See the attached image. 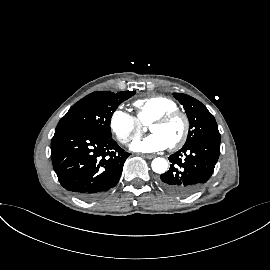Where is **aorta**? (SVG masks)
Listing matches in <instances>:
<instances>
[{"mask_svg":"<svg viewBox=\"0 0 270 270\" xmlns=\"http://www.w3.org/2000/svg\"><path fill=\"white\" fill-rule=\"evenodd\" d=\"M151 166H152V170L155 173L162 174V173H165L167 171L168 162L165 158L158 157L152 161Z\"/></svg>","mask_w":270,"mask_h":270,"instance_id":"obj_1","label":"aorta"}]
</instances>
